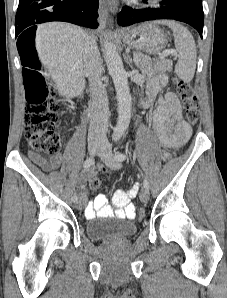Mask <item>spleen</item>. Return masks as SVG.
<instances>
[{
	"label": "spleen",
	"instance_id": "1",
	"mask_svg": "<svg viewBox=\"0 0 227 298\" xmlns=\"http://www.w3.org/2000/svg\"><path fill=\"white\" fill-rule=\"evenodd\" d=\"M158 23L167 25L173 31L175 47L179 53L175 72L184 82H190L194 77L197 58L192 34L186 27L172 20H163Z\"/></svg>",
	"mask_w": 227,
	"mask_h": 298
}]
</instances>
